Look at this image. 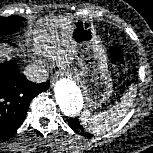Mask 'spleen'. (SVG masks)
Masks as SVG:
<instances>
[{
  "label": "spleen",
  "mask_w": 153,
  "mask_h": 153,
  "mask_svg": "<svg viewBox=\"0 0 153 153\" xmlns=\"http://www.w3.org/2000/svg\"><path fill=\"white\" fill-rule=\"evenodd\" d=\"M134 97L135 87L131 86L129 91L122 96L121 101L116 103L110 110L96 115H91L88 110H85L81 116L83 127L96 134L111 130L126 116L127 111L133 105Z\"/></svg>",
  "instance_id": "1"
}]
</instances>
